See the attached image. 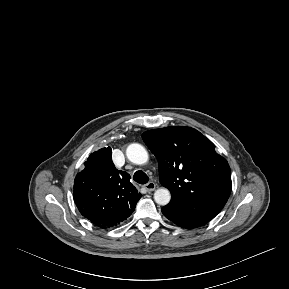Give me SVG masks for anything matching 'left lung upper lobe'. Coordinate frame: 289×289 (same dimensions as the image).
I'll return each mask as SVG.
<instances>
[{
	"instance_id": "5c2ea615",
	"label": "left lung upper lobe",
	"mask_w": 289,
	"mask_h": 289,
	"mask_svg": "<svg viewBox=\"0 0 289 289\" xmlns=\"http://www.w3.org/2000/svg\"><path fill=\"white\" fill-rule=\"evenodd\" d=\"M142 138L158 160L160 183L171 199L222 210L232 189L231 170L210 140L185 126L149 130Z\"/></svg>"
}]
</instances>
